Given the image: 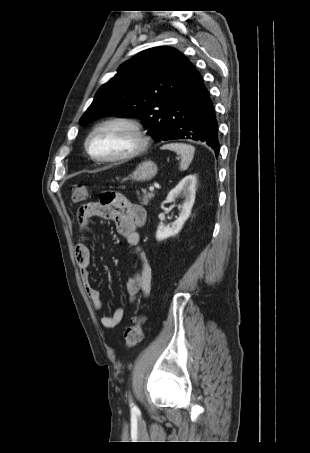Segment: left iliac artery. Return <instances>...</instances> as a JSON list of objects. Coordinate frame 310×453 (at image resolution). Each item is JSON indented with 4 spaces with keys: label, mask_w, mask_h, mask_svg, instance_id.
<instances>
[{
    "label": "left iliac artery",
    "mask_w": 310,
    "mask_h": 453,
    "mask_svg": "<svg viewBox=\"0 0 310 453\" xmlns=\"http://www.w3.org/2000/svg\"><path fill=\"white\" fill-rule=\"evenodd\" d=\"M130 405H131L132 411H137L138 410L137 406H135L133 402H131Z\"/></svg>",
    "instance_id": "1"
}]
</instances>
